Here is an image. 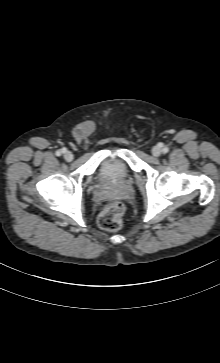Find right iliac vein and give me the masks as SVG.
<instances>
[{
  "label": "right iliac vein",
  "mask_w": 220,
  "mask_h": 363,
  "mask_svg": "<svg viewBox=\"0 0 220 363\" xmlns=\"http://www.w3.org/2000/svg\"><path fill=\"white\" fill-rule=\"evenodd\" d=\"M73 158H74V155H73V153H72V152H70V151H66V152L64 153V159H65L67 162L72 161V160H73Z\"/></svg>",
  "instance_id": "right-iliac-vein-1"
}]
</instances>
